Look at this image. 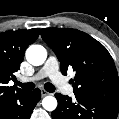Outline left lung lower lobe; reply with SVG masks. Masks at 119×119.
<instances>
[{
    "label": "left lung lower lobe",
    "instance_id": "0a47b994",
    "mask_svg": "<svg viewBox=\"0 0 119 119\" xmlns=\"http://www.w3.org/2000/svg\"><path fill=\"white\" fill-rule=\"evenodd\" d=\"M57 108L52 112L53 119H116L119 103L75 94L72 99L56 93Z\"/></svg>",
    "mask_w": 119,
    "mask_h": 119
}]
</instances>
